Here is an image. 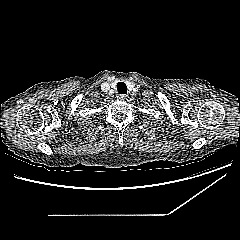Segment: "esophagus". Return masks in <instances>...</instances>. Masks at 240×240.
Here are the masks:
<instances>
[{"label": "esophagus", "mask_w": 240, "mask_h": 240, "mask_svg": "<svg viewBox=\"0 0 240 240\" xmlns=\"http://www.w3.org/2000/svg\"><path fill=\"white\" fill-rule=\"evenodd\" d=\"M117 98H118L119 100H125V99L127 98V96L124 95V94H119V95L117 96Z\"/></svg>", "instance_id": "esophagus-1"}]
</instances>
